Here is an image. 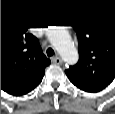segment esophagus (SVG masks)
I'll list each match as a JSON object with an SVG mask.
<instances>
[{
    "instance_id": "obj_1",
    "label": "esophagus",
    "mask_w": 115,
    "mask_h": 114,
    "mask_svg": "<svg viewBox=\"0 0 115 114\" xmlns=\"http://www.w3.org/2000/svg\"><path fill=\"white\" fill-rule=\"evenodd\" d=\"M51 60L53 63L58 64V65L63 63V61L60 57H53Z\"/></svg>"
}]
</instances>
